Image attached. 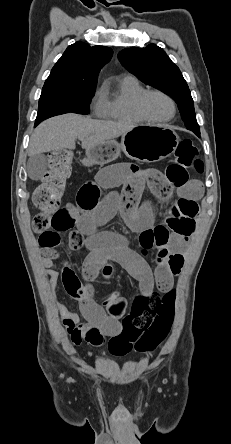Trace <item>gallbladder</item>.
Segmentation results:
<instances>
[{"label":"gallbladder","instance_id":"gallbladder-1","mask_svg":"<svg viewBox=\"0 0 231 444\" xmlns=\"http://www.w3.org/2000/svg\"><path fill=\"white\" fill-rule=\"evenodd\" d=\"M47 163L43 154H36L29 158L27 172L32 180L40 179L46 172Z\"/></svg>","mask_w":231,"mask_h":444}]
</instances>
